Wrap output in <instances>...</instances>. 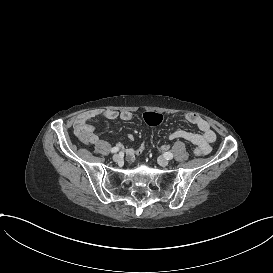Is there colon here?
I'll return each instance as SVG.
<instances>
[{
  "label": "colon",
  "instance_id": "5ec220e1",
  "mask_svg": "<svg viewBox=\"0 0 273 273\" xmlns=\"http://www.w3.org/2000/svg\"><path fill=\"white\" fill-rule=\"evenodd\" d=\"M145 121L150 125H159L163 123L164 116L161 113L146 114ZM96 123V116L94 114H80L73 119V128L75 133L80 138L82 143H89L91 141V134L85 125H94ZM146 152V140H139V147L136 154L141 156Z\"/></svg>",
  "mask_w": 273,
  "mask_h": 273
}]
</instances>
